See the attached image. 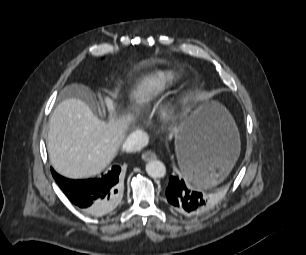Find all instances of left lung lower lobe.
Instances as JSON below:
<instances>
[{
    "instance_id": "1",
    "label": "left lung lower lobe",
    "mask_w": 306,
    "mask_h": 255,
    "mask_svg": "<svg viewBox=\"0 0 306 255\" xmlns=\"http://www.w3.org/2000/svg\"><path fill=\"white\" fill-rule=\"evenodd\" d=\"M182 177L171 176L166 189V197L170 207L186 216L198 215L206 211L212 204L210 196L191 190L184 180L206 178L211 175L209 161L203 159L192 150L184 153L181 165Z\"/></svg>"
}]
</instances>
